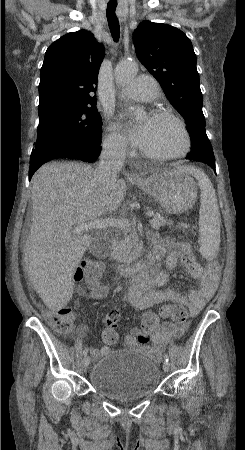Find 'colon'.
<instances>
[{
    "mask_svg": "<svg viewBox=\"0 0 245 450\" xmlns=\"http://www.w3.org/2000/svg\"><path fill=\"white\" fill-rule=\"evenodd\" d=\"M207 269L215 272L219 269L216 261H210ZM103 268L94 260L87 259L76 270L74 279L76 282L85 281L89 286L96 287L99 285L100 276ZM45 318L49 324L57 330L67 332L72 326V311L68 307H60L56 310H46ZM189 313L185 306L181 304H166L158 310L148 312L142 318L141 332L138 335V341L147 343L151 339L152 333L158 323L164 318H171L174 323L184 324L188 320ZM121 317L119 307L111 309L104 317V331L102 334L103 341L108 345H113L118 341V334L115 327L118 325Z\"/></svg>",
    "mask_w": 245,
    "mask_h": 450,
    "instance_id": "1",
    "label": "colon"
}]
</instances>
